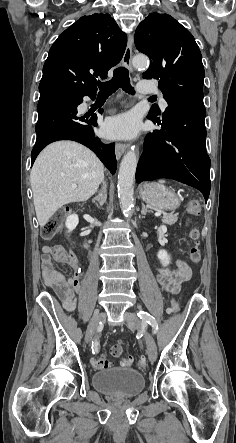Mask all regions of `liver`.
Segmentation results:
<instances>
[{"label": "liver", "mask_w": 236, "mask_h": 443, "mask_svg": "<svg viewBox=\"0 0 236 443\" xmlns=\"http://www.w3.org/2000/svg\"><path fill=\"white\" fill-rule=\"evenodd\" d=\"M104 167L85 146L72 141L48 145L36 158L30 174L38 223L45 226L65 204L84 202L97 191ZM77 185L72 188V185Z\"/></svg>", "instance_id": "liver-1"}]
</instances>
